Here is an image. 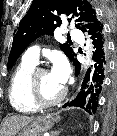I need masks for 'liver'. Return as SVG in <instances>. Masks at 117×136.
Wrapping results in <instances>:
<instances>
[{
	"instance_id": "liver-1",
	"label": "liver",
	"mask_w": 117,
	"mask_h": 136,
	"mask_svg": "<svg viewBox=\"0 0 117 136\" xmlns=\"http://www.w3.org/2000/svg\"><path fill=\"white\" fill-rule=\"evenodd\" d=\"M35 118L25 115H12L7 117L2 125L0 134L2 136H15L19 130L27 126Z\"/></svg>"
}]
</instances>
